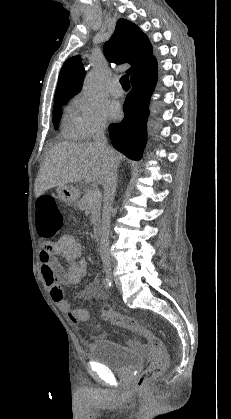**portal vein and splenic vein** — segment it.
Listing matches in <instances>:
<instances>
[{"mask_svg": "<svg viewBox=\"0 0 231 419\" xmlns=\"http://www.w3.org/2000/svg\"><path fill=\"white\" fill-rule=\"evenodd\" d=\"M101 198V192L99 189H94L89 193V199L90 200H94V199H98Z\"/></svg>", "mask_w": 231, "mask_h": 419, "instance_id": "18ae733b", "label": "portal vein and splenic vein"}]
</instances>
